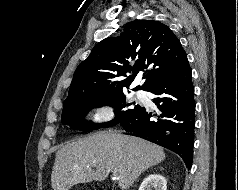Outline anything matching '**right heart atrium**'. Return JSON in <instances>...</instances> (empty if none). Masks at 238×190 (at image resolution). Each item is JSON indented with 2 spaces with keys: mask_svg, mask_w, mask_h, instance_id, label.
Wrapping results in <instances>:
<instances>
[{
  "mask_svg": "<svg viewBox=\"0 0 238 190\" xmlns=\"http://www.w3.org/2000/svg\"><path fill=\"white\" fill-rule=\"evenodd\" d=\"M115 117L114 107L106 102H98L92 109L91 119L95 124H103Z\"/></svg>",
  "mask_w": 238,
  "mask_h": 190,
  "instance_id": "1",
  "label": "right heart atrium"
}]
</instances>
